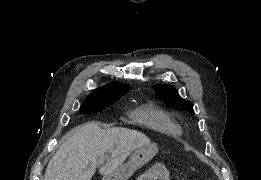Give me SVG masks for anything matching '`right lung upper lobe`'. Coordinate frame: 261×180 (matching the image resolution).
Listing matches in <instances>:
<instances>
[{
    "mask_svg": "<svg viewBox=\"0 0 261 180\" xmlns=\"http://www.w3.org/2000/svg\"><path fill=\"white\" fill-rule=\"evenodd\" d=\"M130 88L131 87L128 85L113 82L95 90L88 96V98L119 97L126 94Z\"/></svg>",
    "mask_w": 261,
    "mask_h": 180,
    "instance_id": "1",
    "label": "right lung upper lobe"
}]
</instances>
